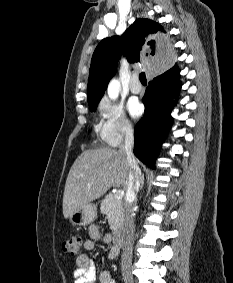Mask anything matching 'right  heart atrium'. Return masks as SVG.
<instances>
[{
  "mask_svg": "<svg viewBox=\"0 0 233 283\" xmlns=\"http://www.w3.org/2000/svg\"><path fill=\"white\" fill-rule=\"evenodd\" d=\"M98 109L103 118L102 138L108 145L119 146L133 136L134 126L120 104L103 98Z\"/></svg>",
  "mask_w": 233,
  "mask_h": 283,
  "instance_id": "right-heart-atrium-1",
  "label": "right heart atrium"
}]
</instances>
